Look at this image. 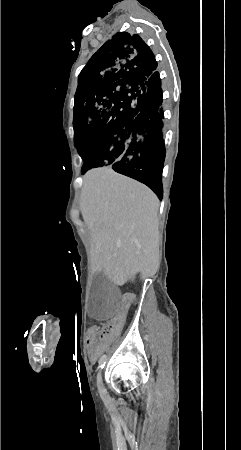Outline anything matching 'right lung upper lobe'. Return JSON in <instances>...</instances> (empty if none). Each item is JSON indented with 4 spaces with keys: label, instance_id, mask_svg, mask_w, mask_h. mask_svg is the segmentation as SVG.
I'll return each instance as SVG.
<instances>
[{
    "label": "right lung upper lobe",
    "instance_id": "right-lung-upper-lobe-1",
    "mask_svg": "<svg viewBox=\"0 0 241 450\" xmlns=\"http://www.w3.org/2000/svg\"><path fill=\"white\" fill-rule=\"evenodd\" d=\"M157 69L151 49L138 36L115 34L91 57L79 81L115 86L121 94L145 98V80Z\"/></svg>",
    "mask_w": 241,
    "mask_h": 450
}]
</instances>
